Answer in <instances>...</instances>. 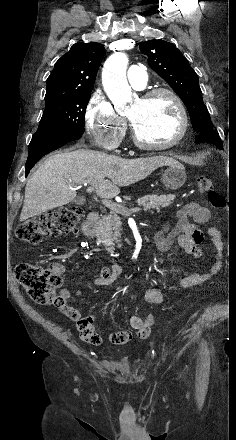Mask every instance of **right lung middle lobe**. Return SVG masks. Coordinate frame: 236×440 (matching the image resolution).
I'll return each instance as SVG.
<instances>
[{"label": "right lung middle lobe", "instance_id": "obj_1", "mask_svg": "<svg viewBox=\"0 0 236 440\" xmlns=\"http://www.w3.org/2000/svg\"><path fill=\"white\" fill-rule=\"evenodd\" d=\"M91 94H78L69 99L46 102L35 134L75 132L83 134L85 110Z\"/></svg>", "mask_w": 236, "mask_h": 440}]
</instances>
